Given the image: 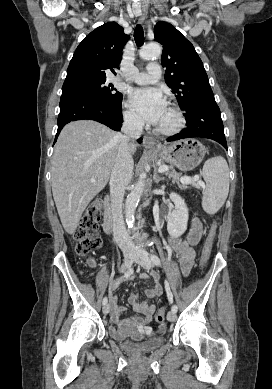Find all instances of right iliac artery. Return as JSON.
I'll return each instance as SVG.
<instances>
[{
    "label": "right iliac artery",
    "mask_w": 272,
    "mask_h": 389,
    "mask_svg": "<svg viewBox=\"0 0 272 389\" xmlns=\"http://www.w3.org/2000/svg\"><path fill=\"white\" fill-rule=\"evenodd\" d=\"M133 274V268L129 269L124 275L119 279V281L128 280L130 276ZM107 297L103 298V305L107 304Z\"/></svg>",
    "instance_id": "obj_1"
}]
</instances>
